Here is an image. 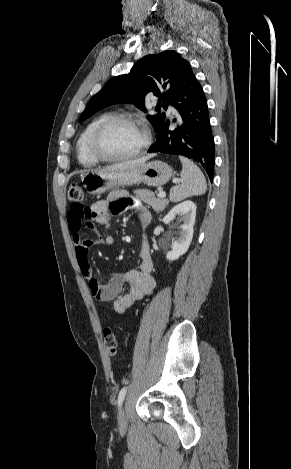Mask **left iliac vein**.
I'll list each match as a JSON object with an SVG mask.
<instances>
[{"label":"left iliac vein","instance_id":"4c4485c4","mask_svg":"<svg viewBox=\"0 0 291 469\" xmlns=\"http://www.w3.org/2000/svg\"><path fill=\"white\" fill-rule=\"evenodd\" d=\"M128 421V413L124 406L120 407L118 412V422L121 428H125Z\"/></svg>","mask_w":291,"mask_h":469}]
</instances>
